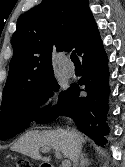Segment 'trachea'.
I'll return each mask as SVG.
<instances>
[{"instance_id":"trachea-1","label":"trachea","mask_w":125,"mask_h":167,"mask_svg":"<svg viewBox=\"0 0 125 167\" xmlns=\"http://www.w3.org/2000/svg\"><path fill=\"white\" fill-rule=\"evenodd\" d=\"M70 58L75 65H81L80 60H79L78 56L76 55L75 51H73L71 53Z\"/></svg>"}]
</instances>
